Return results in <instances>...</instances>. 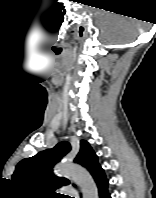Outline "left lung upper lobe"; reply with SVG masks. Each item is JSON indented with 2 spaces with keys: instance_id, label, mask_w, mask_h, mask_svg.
Wrapping results in <instances>:
<instances>
[{
  "instance_id": "left-lung-upper-lobe-1",
  "label": "left lung upper lobe",
  "mask_w": 156,
  "mask_h": 198,
  "mask_svg": "<svg viewBox=\"0 0 156 198\" xmlns=\"http://www.w3.org/2000/svg\"><path fill=\"white\" fill-rule=\"evenodd\" d=\"M70 150V144L63 141L52 149L41 151L33 157L23 159L16 166L12 180L36 197L55 196V189L62 185H68L69 180L55 176L52 173V168ZM74 162L85 167L94 179L103 171L98 163L96 153L85 140L80 141V151Z\"/></svg>"
}]
</instances>
